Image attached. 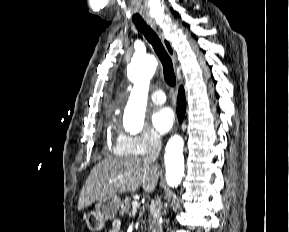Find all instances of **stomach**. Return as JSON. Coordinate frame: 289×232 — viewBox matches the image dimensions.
I'll use <instances>...</instances> for the list:
<instances>
[{"instance_id":"0dacf381","label":"stomach","mask_w":289,"mask_h":232,"mask_svg":"<svg viewBox=\"0 0 289 232\" xmlns=\"http://www.w3.org/2000/svg\"><path fill=\"white\" fill-rule=\"evenodd\" d=\"M120 203V198L117 195L98 200L94 210L84 215L88 229L93 232L102 230L108 220L115 218Z\"/></svg>"}]
</instances>
